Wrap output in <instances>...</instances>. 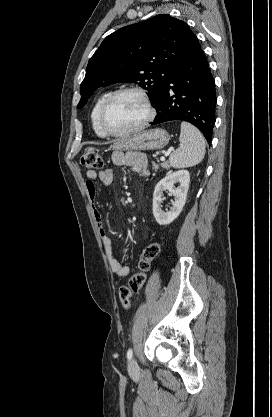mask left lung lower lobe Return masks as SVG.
<instances>
[{
    "label": "left lung lower lobe",
    "instance_id": "left-lung-lower-lobe-1",
    "mask_svg": "<svg viewBox=\"0 0 272 417\" xmlns=\"http://www.w3.org/2000/svg\"><path fill=\"white\" fill-rule=\"evenodd\" d=\"M216 91L207 59L200 48L182 62L168 78L155 106L152 124L171 120L187 121L212 140Z\"/></svg>",
    "mask_w": 272,
    "mask_h": 417
}]
</instances>
